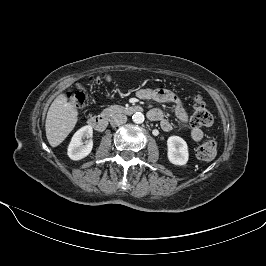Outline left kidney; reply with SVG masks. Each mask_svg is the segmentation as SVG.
Masks as SVG:
<instances>
[{
  "label": "left kidney",
  "mask_w": 266,
  "mask_h": 266,
  "mask_svg": "<svg viewBox=\"0 0 266 266\" xmlns=\"http://www.w3.org/2000/svg\"><path fill=\"white\" fill-rule=\"evenodd\" d=\"M168 160L178 166L185 165L189 158L188 146L184 139L179 136H170L167 140Z\"/></svg>",
  "instance_id": "5707ae66"
}]
</instances>
